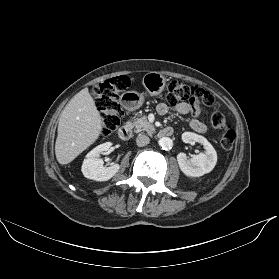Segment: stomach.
I'll list each match as a JSON object with an SVG mask.
<instances>
[{"mask_svg": "<svg viewBox=\"0 0 279 279\" xmlns=\"http://www.w3.org/2000/svg\"><path fill=\"white\" fill-rule=\"evenodd\" d=\"M142 84L149 95L156 96L164 90L166 79L161 73L152 71L144 75ZM120 99L125 109L134 111L142 106L145 95L136 91H126Z\"/></svg>", "mask_w": 279, "mask_h": 279, "instance_id": "0dacf381", "label": "stomach"}]
</instances>
